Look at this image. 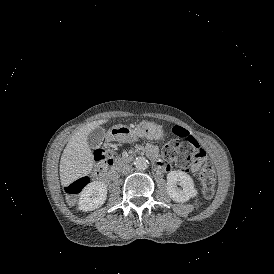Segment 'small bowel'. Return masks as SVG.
Listing matches in <instances>:
<instances>
[{"instance_id":"c3829d8e","label":"small bowel","mask_w":274,"mask_h":274,"mask_svg":"<svg viewBox=\"0 0 274 274\" xmlns=\"http://www.w3.org/2000/svg\"><path fill=\"white\" fill-rule=\"evenodd\" d=\"M145 147H146V149H147V151H148V153H149L150 156H154V155L156 154L155 147L152 146L151 144H148V143H147V144L145 145ZM100 175H102V174H99V175H97L96 177H98V176H100Z\"/></svg>"}]
</instances>
